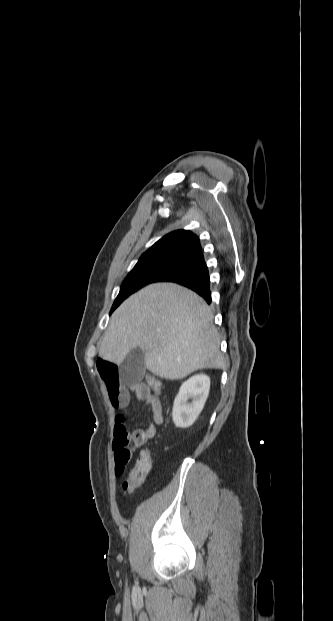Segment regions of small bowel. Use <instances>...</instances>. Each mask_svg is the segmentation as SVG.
Masks as SVG:
<instances>
[{"label":"small bowel","mask_w":333,"mask_h":621,"mask_svg":"<svg viewBox=\"0 0 333 621\" xmlns=\"http://www.w3.org/2000/svg\"><path fill=\"white\" fill-rule=\"evenodd\" d=\"M97 369L104 382L107 396L115 409H124L130 403L131 392L151 410V420L145 429L129 432L125 417L118 413L115 416L113 456L115 472L123 473L129 463L135 447L145 444L156 434L157 427L163 423L162 404L158 394L154 393L147 381L126 387L122 384L119 368L116 363L106 358H98Z\"/></svg>","instance_id":"1"}]
</instances>
